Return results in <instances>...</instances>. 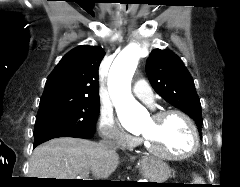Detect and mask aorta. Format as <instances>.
<instances>
[{
  "mask_svg": "<svg viewBox=\"0 0 240 187\" xmlns=\"http://www.w3.org/2000/svg\"><path fill=\"white\" fill-rule=\"evenodd\" d=\"M140 54L139 46L129 45L116 57L108 74V90L118 115L128 114L134 120L146 115L145 109L131 93V81Z\"/></svg>",
  "mask_w": 240,
  "mask_h": 187,
  "instance_id": "aorta-1",
  "label": "aorta"
}]
</instances>
